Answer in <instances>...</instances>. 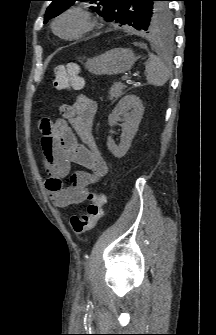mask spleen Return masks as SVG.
Instances as JSON below:
<instances>
[{
    "label": "spleen",
    "instance_id": "obj_1",
    "mask_svg": "<svg viewBox=\"0 0 216 335\" xmlns=\"http://www.w3.org/2000/svg\"><path fill=\"white\" fill-rule=\"evenodd\" d=\"M148 84L163 86L169 79L170 70L162 59L154 54L149 55L145 65Z\"/></svg>",
    "mask_w": 216,
    "mask_h": 335
}]
</instances>
